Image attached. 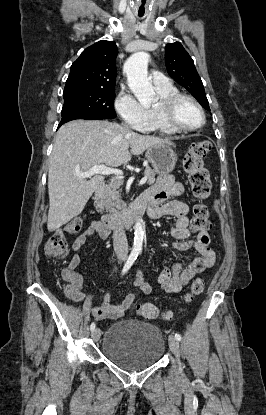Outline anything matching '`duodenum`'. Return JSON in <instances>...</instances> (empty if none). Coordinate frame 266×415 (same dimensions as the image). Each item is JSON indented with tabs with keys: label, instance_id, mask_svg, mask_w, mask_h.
Returning a JSON list of instances; mask_svg holds the SVG:
<instances>
[{
	"label": "duodenum",
	"instance_id": "obj_1",
	"mask_svg": "<svg viewBox=\"0 0 266 415\" xmlns=\"http://www.w3.org/2000/svg\"><path fill=\"white\" fill-rule=\"evenodd\" d=\"M104 184L99 183L95 188V195L100 196L103 192ZM147 205L136 200L125 211L109 213L102 217V224L108 230L122 229L131 227L137 219L144 213Z\"/></svg>",
	"mask_w": 266,
	"mask_h": 415
}]
</instances>
